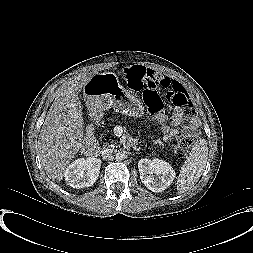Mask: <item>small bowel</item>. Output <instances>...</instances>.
<instances>
[{"label":"small bowel","mask_w":253,"mask_h":253,"mask_svg":"<svg viewBox=\"0 0 253 253\" xmlns=\"http://www.w3.org/2000/svg\"><path fill=\"white\" fill-rule=\"evenodd\" d=\"M162 80L169 82L171 85L176 86L180 85L176 80L171 77L155 72ZM181 86V85H180ZM184 89V88H183ZM185 90V89H184ZM186 116L184 111L180 108L175 109L170 120H167L164 117H159L158 121L163 133V141L169 142L173 139H176L180 135L188 132L193 133L197 130L199 122L195 117L187 118V122L184 124Z\"/></svg>","instance_id":"1"}]
</instances>
